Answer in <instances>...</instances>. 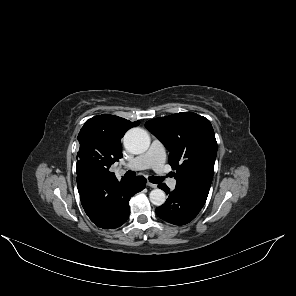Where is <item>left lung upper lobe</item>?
<instances>
[{
  "instance_id": "obj_1",
  "label": "left lung upper lobe",
  "mask_w": 296,
  "mask_h": 296,
  "mask_svg": "<svg viewBox=\"0 0 296 296\" xmlns=\"http://www.w3.org/2000/svg\"><path fill=\"white\" fill-rule=\"evenodd\" d=\"M146 128L170 151L176 187L210 189L217 154L214 130L208 119L181 112L152 119Z\"/></svg>"
}]
</instances>
